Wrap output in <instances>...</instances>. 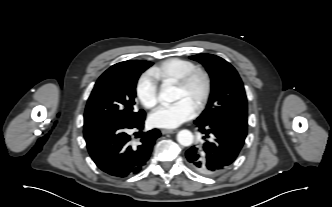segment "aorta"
<instances>
[{"instance_id":"obj_1","label":"aorta","mask_w":332,"mask_h":207,"mask_svg":"<svg viewBox=\"0 0 332 207\" xmlns=\"http://www.w3.org/2000/svg\"><path fill=\"white\" fill-rule=\"evenodd\" d=\"M161 101L174 102L179 99V92L175 86L163 84L159 94ZM194 136L189 130H181L177 134V141L182 146H190L193 143Z\"/></svg>"}]
</instances>
